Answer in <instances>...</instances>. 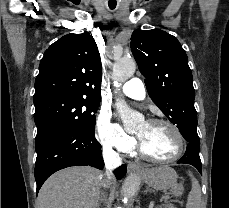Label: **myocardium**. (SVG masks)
I'll use <instances>...</instances> for the list:
<instances>
[{
  "instance_id": "f54148a6",
  "label": "myocardium",
  "mask_w": 229,
  "mask_h": 208,
  "mask_svg": "<svg viewBox=\"0 0 229 208\" xmlns=\"http://www.w3.org/2000/svg\"><path fill=\"white\" fill-rule=\"evenodd\" d=\"M146 123L163 124V125L169 126L170 128L174 129V130H170V135H172V138H173L172 141L173 143H176V147H183V149L177 155L170 157V160H159V157H150L149 156L150 152L145 151L144 141L140 137H138L139 142L137 143V146L140 147L138 149V152L142 153L143 155L147 156L150 160H152L153 162H157V163H172V162H175L181 159V157L185 154L189 146L188 138L185 135V133L182 131V129L175 123L169 120H166V119L152 118V119H149Z\"/></svg>"
}]
</instances>
